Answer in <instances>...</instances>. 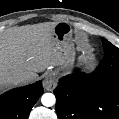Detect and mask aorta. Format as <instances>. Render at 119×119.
<instances>
[{"label": "aorta", "mask_w": 119, "mask_h": 119, "mask_svg": "<svg viewBox=\"0 0 119 119\" xmlns=\"http://www.w3.org/2000/svg\"><path fill=\"white\" fill-rule=\"evenodd\" d=\"M41 102L44 106H53L56 102L55 96L52 93H45L42 95Z\"/></svg>", "instance_id": "aorta-1"}]
</instances>
